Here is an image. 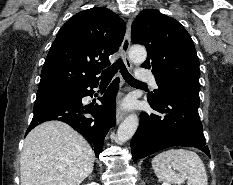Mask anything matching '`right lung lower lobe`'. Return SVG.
Here are the masks:
<instances>
[{
  "mask_svg": "<svg viewBox=\"0 0 233 185\" xmlns=\"http://www.w3.org/2000/svg\"><path fill=\"white\" fill-rule=\"evenodd\" d=\"M98 83L97 81L70 88L38 90L34 116L26 134L42 122L64 121L86 138L98 156L103 148L104 137L116 123L115 96L119 79H115L104 96L99 98L101 105H83L82 98L92 96V89L97 87Z\"/></svg>",
  "mask_w": 233,
  "mask_h": 185,
  "instance_id": "98d812e1",
  "label": "right lung lower lobe"
}]
</instances>
